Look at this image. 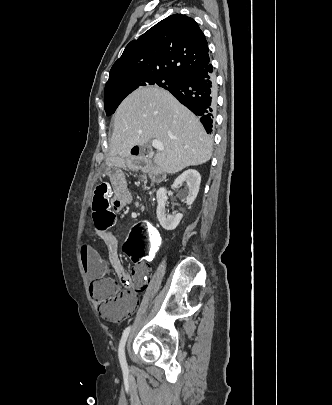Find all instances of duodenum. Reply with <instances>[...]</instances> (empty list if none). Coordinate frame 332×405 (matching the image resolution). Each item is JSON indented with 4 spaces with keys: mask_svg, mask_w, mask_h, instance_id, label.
Listing matches in <instances>:
<instances>
[{
    "mask_svg": "<svg viewBox=\"0 0 332 405\" xmlns=\"http://www.w3.org/2000/svg\"><path fill=\"white\" fill-rule=\"evenodd\" d=\"M133 156H138V152H132ZM150 177L151 179L156 182V183H160L164 180V176L158 172H151L150 173Z\"/></svg>",
    "mask_w": 332,
    "mask_h": 405,
    "instance_id": "duodenum-1",
    "label": "duodenum"
}]
</instances>
